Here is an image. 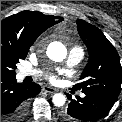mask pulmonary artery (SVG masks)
I'll use <instances>...</instances> for the list:
<instances>
[{"label":"pulmonary artery","instance_id":"obj_1","mask_svg":"<svg viewBox=\"0 0 122 122\" xmlns=\"http://www.w3.org/2000/svg\"><path fill=\"white\" fill-rule=\"evenodd\" d=\"M83 56H84V52L80 47L78 46L73 47L69 51L68 58H67V65L68 66L77 65L82 60ZM40 75H41V71L36 70V69L23 68L20 71V76L22 78L27 77V76H40ZM80 96L85 97V94L81 93Z\"/></svg>","mask_w":122,"mask_h":122}]
</instances>
